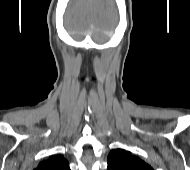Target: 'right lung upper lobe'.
Returning <instances> with one entry per match:
<instances>
[{
  "instance_id": "1",
  "label": "right lung upper lobe",
  "mask_w": 190,
  "mask_h": 170,
  "mask_svg": "<svg viewBox=\"0 0 190 170\" xmlns=\"http://www.w3.org/2000/svg\"><path fill=\"white\" fill-rule=\"evenodd\" d=\"M34 170H70V168L66 159L53 155L48 160L42 161Z\"/></svg>"
}]
</instances>
